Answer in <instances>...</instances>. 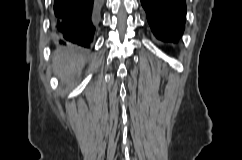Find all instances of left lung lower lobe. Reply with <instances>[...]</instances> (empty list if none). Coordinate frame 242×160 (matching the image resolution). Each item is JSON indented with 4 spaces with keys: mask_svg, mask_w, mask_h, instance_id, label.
Segmentation results:
<instances>
[{
    "mask_svg": "<svg viewBox=\"0 0 242 160\" xmlns=\"http://www.w3.org/2000/svg\"><path fill=\"white\" fill-rule=\"evenodd\" d=\"M154 35L165 42H177L185 27V0H141Z\"/></svg>",
    "mask_w": 242,
    "mask_h": 160,
    "instance_id": "left-lung-lower-lobe-1",
    "label": "left lung lower lobe"
}]
</instances>
